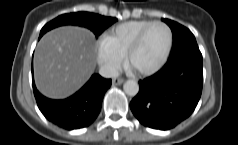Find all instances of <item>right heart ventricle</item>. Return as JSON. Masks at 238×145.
Segmentation results:
<instances>
[{
    "label": "right heart ventricle",
    "mask_w": 238,
    "mask_h": 145,
    "mask_svg": "<svg viewBox=\"0 0 238 145\" xmlns=\"http://www.w3.org/2000/svg\"><path fill=\"white\" fill-rule=\"evenodd\" d=\"M151 22V20L124 22L106 31L102 36V41L123 57L136 36Z\"/></svg>",
    "instance_id": "e07e8e85"
}]
</instances>
